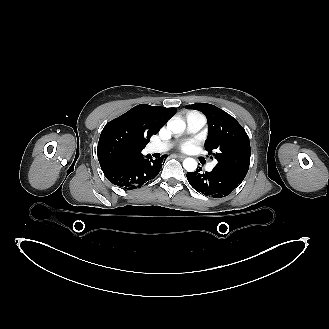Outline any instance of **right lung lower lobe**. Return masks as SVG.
<instances>
[{"label": "right lung lower lobe", "mask_w": 329, "mask_h": 329, "mask_svg": "<svg viewBox=\"0 0 329 329\" xmlns=\"http://www.w3.org/2000/svg\"><path fill=\"white\" fill-rule=\"evenodd\" d=\"M167 155L153 160L148 155L142 156L122 166L103 170L105 177L114 185L126 190L139 188L147 185L154 179L161 169Z\"/></svg>", "instance_id": "obj_1"}]
</instances>
